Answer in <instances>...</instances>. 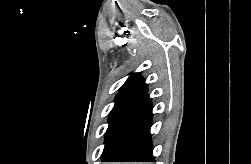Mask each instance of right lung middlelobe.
I'll use <instances>...</instances> for the list:
<instances>
[{
	"instance_id": "obj_1",
	"label": "right lung middle lobe",
	"mask_w": 251,
	"mask_h": 164,
	"mask_svg": "<svg viewBox=\"0 0 251 164\" xmlns=\"http://www.w3.org/2000/svg\"><path fill=\"white\" fill-rule=\"evenodd\" d=\"M142 93L133 91H121L118 93L115 99V105L109 115V127L106 131V138L110 134L114 124L119 120V118L141 97Z\"/></svg>"
}]
</instances>
